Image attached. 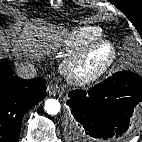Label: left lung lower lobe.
Instances as JSON below:
<instances>
[{
    "label": "left lung lower lobe",
    "mask_w": 142,
    "mask_h": 142,
    "mask_svg": "<svg viewBox=\"0 0 142 142\" xmlns=\"http://www.w3.org/2000/svg\"><path fill=\"white\" fill-rule=\"evenodd\" d=\"M68 106L76 122L71 139L77 142H123L130 136L134 108L142 101V78L120 71L91 90H73Z\"/></svg>",
    "instance_id": "1"
}]
</instances>
